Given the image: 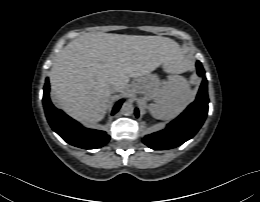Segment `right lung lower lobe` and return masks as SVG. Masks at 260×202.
<instances>
[{"label":"right lung lower lobe","instance_id":"right-lung-lower-lobe-1","mask_svg":"<svg viewBox=\"0 0 260 202\" xmlns=\"http://www.w3.org/2000/svg\"><path fill=\"white\" fill-rule=\"evenodd\" d=\"M122 103L123 99L116 103L112 114L119 110ZM43 105L51 128L67 143L83 149H96L109 141L110 136L106 132L84 128L80 123L53 106L49 98L48 78L44 86Z\"/></svg>","mask_w":260,"mask_h":202}]
</instances>
